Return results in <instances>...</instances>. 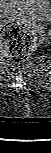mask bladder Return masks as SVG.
I'll return each mask as SVG.
<instances>
[{"instance_id": "bladder-1", "label": "bladder", "mask_w": 51, "mask_h": 153, "mask_svg": "<svg viewBox=\"0 0 51 153\" xmlns=\"http://www.w3.org/2000/svg\"><path fill=\"white\" fill-rule=\"evenodd\" d=\"M0 11L26 22L46 23L51 18L49 0H0Z\"/></svg>"}]
</instances>
